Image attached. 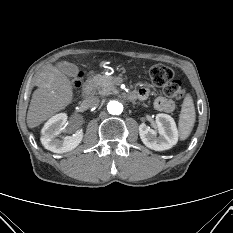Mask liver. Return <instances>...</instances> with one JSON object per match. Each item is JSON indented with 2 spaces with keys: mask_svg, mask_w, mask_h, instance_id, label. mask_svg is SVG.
Instances as JSON below:
<instances>
[{
  "mask_svg": "<svg viewBox=\"0 0 233 233\" xmlns=\"http://www.w3.org/2000/svg\"><path fill=\"white\" fill-rule=\"evenodd\" d=\"M34 91L27 113L29 128L39 126L55 113L65 109L73 99L71 81L59 67L48 65L36 78Z\"/></svg>",
  "mask_w": 233,
  "mask_h": 233,
  "instance_id": "1",
  "label": "liver"
}]
</instances>
